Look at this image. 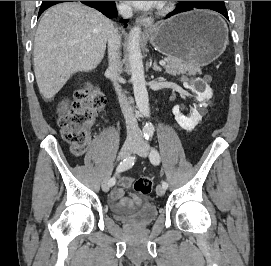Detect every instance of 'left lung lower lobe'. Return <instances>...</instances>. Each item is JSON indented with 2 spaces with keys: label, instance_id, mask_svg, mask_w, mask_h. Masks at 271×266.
<instances>
[{
  "label": "left lung lower lobe",
  "instance_id": "0a47b994",
  "mask_svg": "<svg viewBox=\"0 0 271 266\" xmlns=\"http://www.w3.org/2000/svg\"><path fill=\"white\" fill-rule=\"evenodd\" d=\"M195 8H199V7H193V6H189V5H185V4H178L176 9L174 11H172L171 13H169L165 18H169V17H171L175 14L181 13V12L193 10ZM219 13H221L224 17L229 19L227 11H223V12H219Z\"/></svg>",
  "mask_w": 271,
  "mask_h": 266
}]
</instances>
